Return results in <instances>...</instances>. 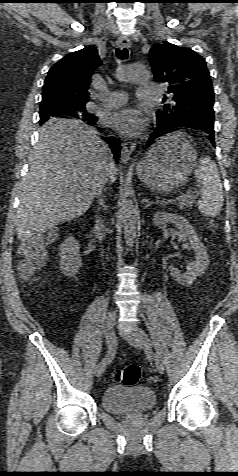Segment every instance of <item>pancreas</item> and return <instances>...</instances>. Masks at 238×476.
<instances>
[{"instance_id":"pancreas-1","label":"pancreas","mask_w":238,"mask_h":476,"mask_svg":"<svg viewBox=\"0 0 238 476\" xmlns=\"http://www.w3.org/2000/svg\"><path fill=\"white\" fill-rule=\"evenodd\" d=\"M187 195L188 197L180 201V203L178 204V206L181 209L191 208L193 206V203L195 201V195L194 194H187Z\"/></svg>"}]
</instances>
